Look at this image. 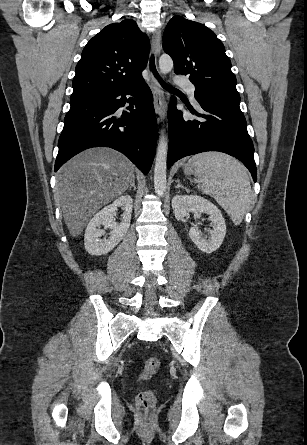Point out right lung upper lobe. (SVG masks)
<instances>
[{
  "label": "right lung upper lobe",
  "mask_w": 307,
  "mask_h": 445,
  "mask_svg": "<svg viewBox=\"0 0 307 445\" xmlns=\"http://www.w3.org/2000/svg\"><path fill=\"white\" fill-rule=\"evenodd\" d=\"M150 50L136 22L125 19L106 26L85 46L75 69L70 99L126 87L143 80Z\"/></svg>",
  "instance_id": "obj_1"
}]
</instances>
